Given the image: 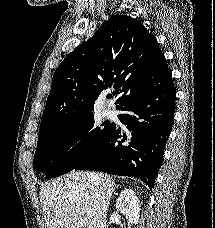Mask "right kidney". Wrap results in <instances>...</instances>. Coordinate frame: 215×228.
<instances>
[{
    "label": "right kidney",
    "mask_w": 215,
    "mask_h": 228,
    "mask_svg": "<svg viewBox=\"0 0 215 228\" xmlns=\"http://www.w3.org/2000/svg\"><path fill=\"white\" fill-rule=\"evenodd\" d=\"M116 208L131 224H138L141 208L134 190H123L116 202Z\"/></svg>",
    "instance_id": "right-kidney-1"
}]
</instances>
